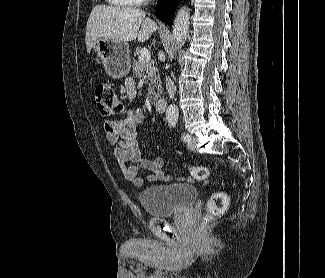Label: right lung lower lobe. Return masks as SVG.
<instances>
[{"instance_id": "98d812e1", "label": "right lung lower lobe", "mask_w": 325, "mask_h": 278, "mask_svg": "<svg viewBox=\"0 0 325 278\" xmlns=\"http://www.w3.org/2000/svg\"><path fill=\"white\" fill-rule=\"evenodd\" d=\"M181 1L182 0H158L155 11L157 17L171 27L175 10Z\"/></svg>"}]
</instances>
